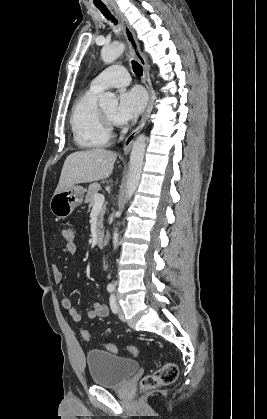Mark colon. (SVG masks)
Here are the masks:
<instances>
[{
	"label": "colon",
	"mask_w": 267,
	"mask_h": 419,
	"mask_svg": "<svg viewBox=\"0 0 267 419\" xmlns=\"http://www.w3.org/2000/svg\"><path fill=\"white\" fill-rule=\"evenodd\" d=\"M62 236L64 238L65 244L75 245V230L72 227H66L62 231ZM81 335L85 341L91 339V334L88 330L83 329ZM105 348L112 353H117L119 348L117 345L108 343L105 345ZM126 351L132 355L136 356L138 354V349L135 346H127ZM178 377V368L172 362H165L159 368H157L152 373L146 375L142 380V386L144 388H155L158 386H165L172 384L176 381Z\"/></svg>",
	"instance_id": "obj_1"
}]
</instances>
